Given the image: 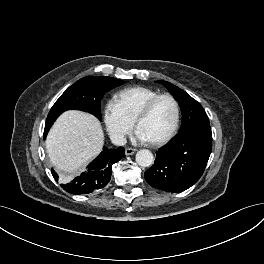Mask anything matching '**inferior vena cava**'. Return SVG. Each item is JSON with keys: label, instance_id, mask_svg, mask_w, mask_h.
I'll list each match as a JSON object with an SVG mask.
<instances>
[{"label": "inferior vena cava", "instance_id": "inferior-vena-cava-1", "mask_svg": "<svg viewBox=\"0 0 264 264\" xmlns=\"http://www.w3.org/2000/svg\"><path fill=\"white\" fill-rule=\"evenodd\" d=\"M110 139L114 145L123 146L126 144L127 140L124 134L115 133L110 136Z\"/></svg>", "mask_w": 264, "mask_h": 264}]
</instances>
